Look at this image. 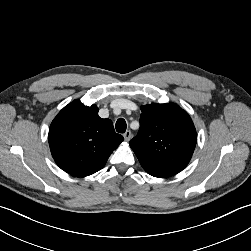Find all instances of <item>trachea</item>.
I'll use <instances>...</instances> for the list:
<instances>
[{
  "label": "trachea",
  "mask_w": 251,
  "mask_h": 251,
  "mask_svg": "<svg viewBox=\"0 0 251 251\" xmlns=\"http://www.w3.org/2000/svg\"><path fill=\"white\" fill-rule=\"evenodd\" d=\"M115 128L118 133H124L127 128L126 121L123 118H119L115 124Z\"/></svg>",
  "instance_id": "1"
}]
</instances>
